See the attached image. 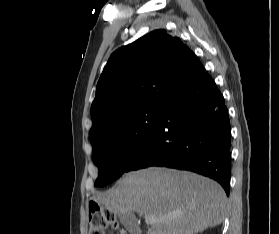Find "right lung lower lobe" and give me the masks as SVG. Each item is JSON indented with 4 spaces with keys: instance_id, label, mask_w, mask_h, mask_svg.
Returning a JSON list of instances; mask_svg holds the SVG:
<instances>
[{
    "instance_id": "obj_1",
    "label": "right lung lower lobe",
    "mask_w": 279,
    "mask_h": 234,
    "mask_svg": "<svg viewBox=\"0 0 279 234\" xmlns=\"http://www.w3.org/2000/svg\"><path fill=\"white\" fill-rule=\"evenodd\" d=\"M230 134L224 98L202 67L163 106L155 129L127 171L149 166L190 170L218 181L229 195Z\"/></svg>"
}]
</instances>
